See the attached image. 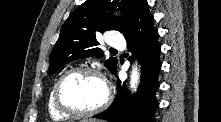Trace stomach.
<instances>
[{
    "label": "stomach",
    "instance_id": "stomach-1",
    "mask_svg": "<svg viewBox=\"0 0 221 122\" xmlns=\"http://www.w3.org/2000/svg\"><path fill=\"white\" fill-rule=\"evenodd\" d=\"M80 122H97V121L92 120V119H86V120H82V121H80Z\"/></svg>",
    "mask_w": 221,
    "mask_h": 122
}]
</instances>
